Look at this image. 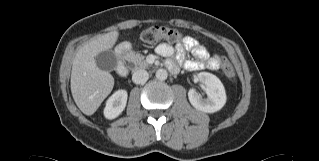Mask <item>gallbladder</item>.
<instances>
[{"label": "gallbladder", "mask_w": 319, "mask_h": 161, "mask_svg": "<svg viewBox=\"0 0 319 161\" xmlns=\"http://www.w3.org/2000/svg\"><path fill=\"white\" fill-rule=\"evenodd\" d=\"M96 65L103 71H112L117 66V56L112 50H105L95 56Z\"/></svg>", "instance_id": "1"}]
</instances>
